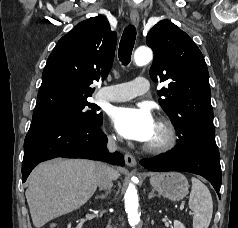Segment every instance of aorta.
Segmentation results:
<instances>
[{
	"label": "aorta",
	"mask_w": 238,
	"mask_h": 228,
	"mask_svg": "<svg viewBox=\"0 0 238 228\" xmlns=\"http://www.w3.org/2000/svg\"><path fill=\"white\" fill-rule=\"evenodd\" d=\"M153 58L152 50L148 47H139L134 53V61L136 65L143 66L148 64ZM136 178H132V181ZM125 210L128 215V222L132 228H137L140 224V215L138 214V194L136 187L133 183H130L125 195Z\"/></svg>",
	"instance_id": "obj_1"
}]
</instances>
